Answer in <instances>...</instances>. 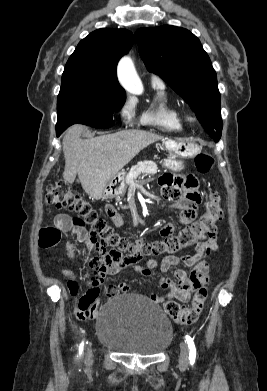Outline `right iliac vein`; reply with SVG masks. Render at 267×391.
<instances>
[{"label":"right iliac vein","mask_w":267,"mask_h":391,"mask_svg":"<svg viewBox=\"0 0 267 391\" xmlns=\"http://www.w3.org/2000/svg\"><path fill=\"white\" fill-rule=\"evenodd\" d=\"M92 358H93L92 349L91 347H89L86 352V359H85L86 363L90 364L92 362Z\"/></svg>","instance_id":"obj_1"}]
</instances>
